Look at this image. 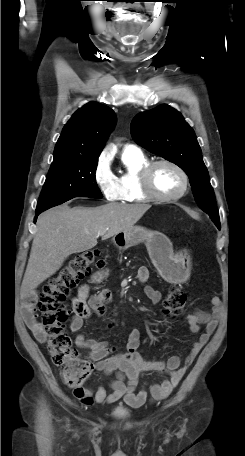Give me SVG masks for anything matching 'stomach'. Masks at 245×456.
Segmentation results:
<instances>
[{
	"instance_id": "0dacf381",
	"label": "stomach",
	"mask_w": 245,
	"mask_h": 456,
	"mask_svg": "<svg viewBox=\"0 0 245 456\" xmlns=\"http://www.w3.org/2000/svg\"><path fill=\"white\" fill-rule=\"evenodd\" d=\"M113 243L119 249L145 243L150 259L162 277L172 283L182 282L189 271L188 251L174 253L170 241L158 231H151L141 226L117 234Z\"/></svg>"
}]
</instances>
